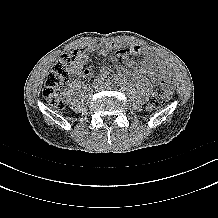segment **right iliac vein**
Wrapping results in <instances>:
<instances>
[{
    "mask_svg": "<svg viewBox=\"0 0 218 218\" xmlns=\"http://www.w3.org/2000/svg\"><path fill=\"white\" fill-rule=\"evenodd\" d=\"M99 86H101V84H95V89H98L99 88Z\"/></svg>",
    "mask_w": 218,
    "mask_h": 218,
    "instance_id": "1",
    "label": "right iliac vein"
}]
</instances>
